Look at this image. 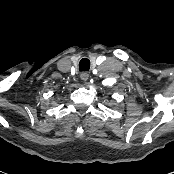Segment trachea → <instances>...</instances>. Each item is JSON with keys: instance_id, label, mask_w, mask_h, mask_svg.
Segmentation results:
<instances>
[{"instance_id": "trachea-1", "label": "trachea", "mask_w": 174, "mask_h": 174, "mask_svg": "<svg viewBox=\"0 0 174 174\" xmlns=\"http://www.w3.org/2000/svg\"><path fill=\"white\" fill-rule=\"evenodd\" d=\"M90 69V60L87 58H83L79 62V70L80 71H88Z\"/></svg>"}]
</instances>
